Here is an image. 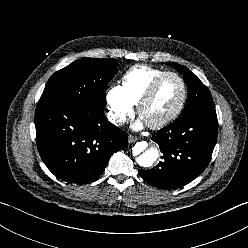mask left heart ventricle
Here are the masks:
<instances>
[{
  "label": "left heart ventricle",
  "instance_id": "b2bd125f",
  "mask_svg": "<svg viewBox=\"0 0 248 248\" xmlns=\"http://www.w3.org/2000/svg\"><path fill=\"white\" fill-rule=\"evenodd\" d=\"M182 96L180 81L174 76L166 77L159 85L154 97L145 107L142 118L145 122H155L173 112Z\"/></svg>",
  "mask_w": 248,
  "mask_h": 248
}]
</instances>
